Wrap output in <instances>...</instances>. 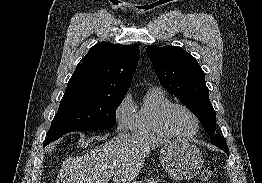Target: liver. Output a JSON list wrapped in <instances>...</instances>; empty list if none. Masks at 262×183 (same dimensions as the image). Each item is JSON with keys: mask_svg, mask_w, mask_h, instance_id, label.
Masks as SVG:
<instances>
[{"mask_svg": "<svg viewBox=\"0 0 262 183\" xmlns=\"http://www.w3.org/2000/svg\"><path fill=\"white\" fill-rule=\"evenodd\" d=\"M165 142L153 136L119 134L85 155L66 158L57 183H130L146 156Z\"/></svg>", "mask_w": 262, "mask_h": 183, "instance_id": "1", "label": "liver"}]
</instances>
